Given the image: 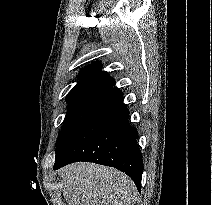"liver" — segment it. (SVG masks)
I'll use <instances>...</instances> for the list:
<instances>
[{"label":"liver","mask_w":212,"mask_h":205,"mask_svg":"<svg viewBox=\"0 0 212 205\" xmlns=\"http://www.w3.org/2000/svg\"><path fill=\"white\" fill-rule=\"evenodd\" d=\"M68 205H132L137 191L133 181L106 166L79 162L60 170Z\"/></svg>","instance_id":"6515ba94"}]
</instances>
